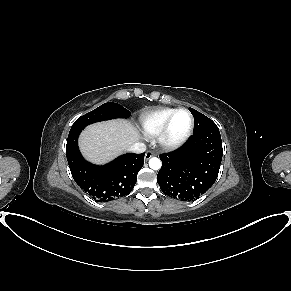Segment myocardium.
I'll list each match as a JSON object with an SVG mask.
<instances>
[{
  "label": "myocardium",
  "mask_w": 291,
  "mask_h": 291,
  "mask_svg": "<svg viewBox=\"0 0 291 291\" xmlns=\"http://www.w3.org/2000/svg\"><path fill=\"white\" fill-rule=\"evenodd\" d=\"M180 112H186L189 115L190 124L187 130L181 136L177 138H173L171 136L172 122H173L174 117ZM193 128H194V116L191 113V111L187 108L175 109V111L167 119L162 131L159 134V143L165 149H169V150L177 149L181 147L189 139V137L192 134Z\"/></svg>",
  "instance_id": "1"
}]
</instances>
